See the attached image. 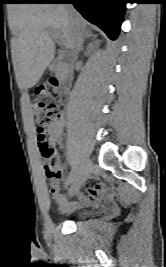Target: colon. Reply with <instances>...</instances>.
I'll return each mask as SVG.
<instances>
[{
  "instance_id": "colon-1",
  "label": "colon",
  "mask_w": 166,
  "mask_h": 267,
  "mask_svg": "<svg viewBox=\"0 0 166 267\" xmlns=\"http://www.w3.org/2000/svg\"><path fill=\"white\" fill-rule=\"evenodd\" d=\"M50 100V102L46 101ZM65 101V95L57 79H51L48 83L40 86L36 91V98L31 107L37 124V138L40 153L47 162L44 165L46 176L51 179L57 176L56 167L52 161L53 151L49 147L46 137L49 125L60 119L61 111L58 103Z\"/></svg>"
}]
</instances>
